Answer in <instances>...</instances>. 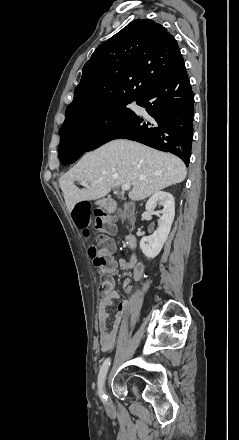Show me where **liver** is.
I'll list each match as a JSON object with an SVG mask.
<instances>
[{
    "instance_id": "liver-1",
    "label": "liver",
    "mask_w": 239,
    "mask_h": 440,
    "mask_svg": "<svg viewBox=\"0 0 239 440\" xmlns=\"http://www.w3.org/2000/svg\"><path fill=\"white\" fill-rule=\"evenodd\" d=\"M186 166L180 158L158 152L138 142L113 140L85 154L69 172L61 176L59 186L68 212L82 200L104 198L112 188L131 184L130 200H145L152 194L185 180ZM145 176V180H140ZM74 182L90 186L79 190Z\"/></svg>"
}]
</instances>
